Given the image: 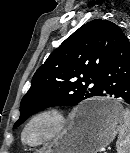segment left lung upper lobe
Returning <instances> with one entry per match:
<instances>
[{"label":"left lung upper lobe","mask_w":130,"mask_h":153,"mask_svg":"<svg viewBox=\"0 0 130 153\" xmlns=\"http://www.w3.org/2000/svg\"><path fill=\"white\" fill-rule=\"evenodd\" d=\"M122 30L113 22H87L55 49L35 72L13 128L47 107L70 106L98 96L99 77Z\"/></svg>","instance_id":"1"}]
</instances>
